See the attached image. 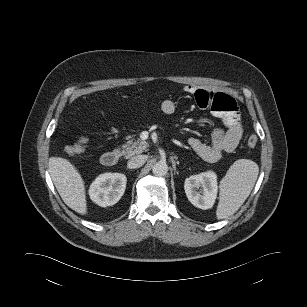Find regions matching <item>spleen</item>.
<instances>
[{
	"label": "spleen",
	"mask_w": 307,
	"mask_h": 307,
	"mask_svg": "<svg viewBox=\"0 0 307 307\" xmlns=\"http://www.w3.org/2000/svg\"><path fill=\"white\" fill-rule=\"evenodd\" d=\"M259 173L258 165L252 160L235 161L220 181L217 219L233 215L250 195Z\"/></svg>",
	"instance_id": "3e777b00"
}]
</instances>
